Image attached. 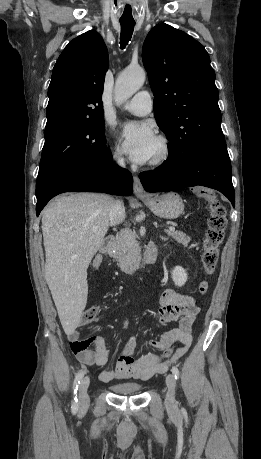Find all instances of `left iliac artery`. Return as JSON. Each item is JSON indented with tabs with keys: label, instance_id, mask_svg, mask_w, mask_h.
<instances>
[{
	"label": "left iliac artery",
	"instance_id": "obj_1",
	"mask_svg": "<svg viewBox=\"0 0 261 459\" xmlns=\"http://www.w3.org/2000/svg\"><path fill=\"white\" fill-rule=\"evenodd\" d=\"M171 371H172L175 379H178L179 378V370H178V368L173 366Z\"/></svg>",
	"mask_w": 261,
	"mask_h": 459
}]
</instances>
